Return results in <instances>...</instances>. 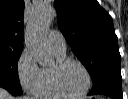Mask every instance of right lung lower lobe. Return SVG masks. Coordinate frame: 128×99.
<instances>
[{
	"label": "right lung lower lobe",
	"instance_id": "1",
	"mask_svg": "<svg viewBox=\"0 0 128 99\" xmlns=\"http://www.w3.org/2000/svg\"><path fill=\"white\" fill-rule=\"evenodd\" d=\"M0 87L6 89L9 93H11L13 95L22 93V90L20 88H16L13 85L5 83V82L0 81Z\"/></svg>",
	"mask_w": 128,
	"mask_h": 99
}]
</instances>
